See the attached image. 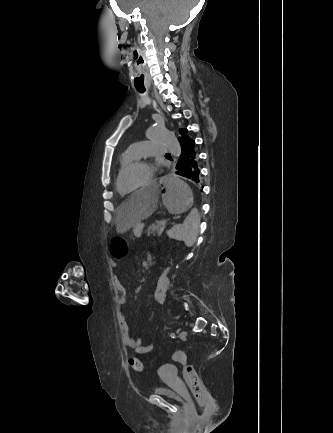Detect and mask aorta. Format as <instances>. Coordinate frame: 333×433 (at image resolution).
Returning <instances> with one entry per match:
<instances>
[{
  "label": "aorta",
  "instance_id": "1",
  "mask_svg": "<svg viewBox=\"0 0 333 433\" xmlns=\"http://www.w3.org/2000/svg\"><path fill=\"white\" fill-rule=\"evenodd\" d=\"M146 138L155 143L165 144L171 155L178 158L181 153V147L178 140L162 126H155L146 131Z\"/></svg>",
  "mask_w": 333,
  "mask_h": 433
}]
</instances>
